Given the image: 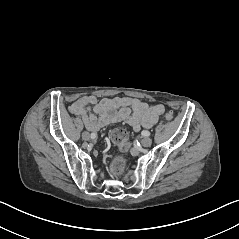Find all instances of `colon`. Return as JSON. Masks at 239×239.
<instances>
[{"instance_id":"obj_1","label":"colon","mask_w":239,"mask_h":239,"mask_svg":"<svg viewBox=\"0 0 239 239\" xmlns=\"http://www.w3.org/2000/svg\"><path fill=\"white\" fill-rule=\"evenodd\" d=\"M174 118V114L172 112H167L165 114V119L170 121ZM112 142L118 146L121 152H126L129 148V139L128 133L123 128H115L111 131L110 134ZM126 166V160L124 156H117L112 163V172L114 174H120Z\"/></svg>"}]
</instances>
